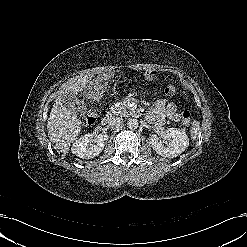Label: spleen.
Here are the masks:
<instances>
[{"label": "spleen", "mask_w": 247, "mask_h": 247, "mask_svg": "<svg viewBox=\"0 0 247 247\" xmlns=\"http://www.w3.org/2000/svg\"><path fill=\"white\" fill-rule=\"evenodd\" d=\"M199 129H200V122L197 121V120H194L192 122V125H191V128H190V137H191V139L196 140Z\"/></svg>", "instance_id": "3e777b00"}]
</instances>
